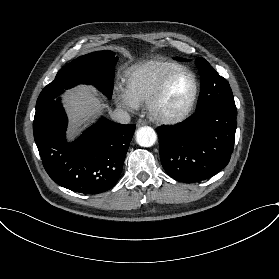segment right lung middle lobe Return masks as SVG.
<instances>
[{
  "mask_svg": "<svg viewBox=\"0 0 279 279\" xmlns=\"http://www.w3.org/2000/svg\"><path fill=\"white\" fill-rule=\"evenodd\" d=\"M117 59L112 51H98L73 60L64 66L57 73L54 81L42 90L36 108L56 99L66 89L77 84H92L110 99Z\"/></svg>",
  "mask_w": 279,
  "mask_h": 279,
  "instance_id": "1",
  "label": "right lung middle lobe"
}]
</instances>
